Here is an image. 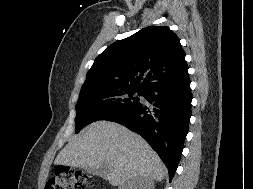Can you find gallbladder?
Listing matches in <instances>:
<instances>
[{
  "label": "gallbladder",
  "instance_id": "gallbladder-1",
  "mask_svg": "<svg viewBox=\"0 0 253 189\" xmlns=\"http://www.w3.org/2000/svg\"><path fill=\"white\" fill-rule=\"evenodd\" d=\"M84 170H86L88 173L93 174V175H98L101 176L103 178H105L106 174L102 169H94L91 167H84Z\"/></svg>",
  "mask_w": 253,
  "mask_h": 189
}]
</instances>
